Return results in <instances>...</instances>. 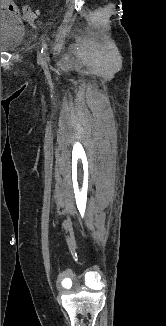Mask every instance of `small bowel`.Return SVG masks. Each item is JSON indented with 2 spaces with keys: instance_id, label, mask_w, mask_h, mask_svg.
<instances>
[{
  "instance_id": "c3829d8e",
  "label": "small bowel",
  "mask_w": 166,
  "mask_h": 326,
  "mask_svg": "<svg viewBox=\"0 0 166 326\" xmlns=\"http://www.w3.org/2000/svg\"><path fill=\"white\" fill-rule=\"evenodd\" d=\"M1 8L10 10L14 13L19 12V8L15 4L14 0H1Z\"/></svg>"
}]
</instances>
